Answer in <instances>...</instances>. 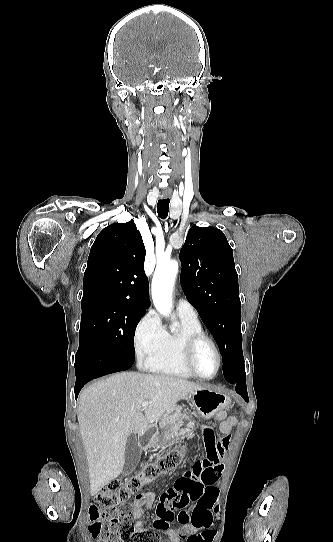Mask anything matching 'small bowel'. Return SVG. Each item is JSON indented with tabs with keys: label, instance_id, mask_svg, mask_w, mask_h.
I'll list each match as a JSON object with an SVG mask.
<instances>
[{
	"label": "small bowel",
	"instance_id": "small-bowel-1",
	"mask_svg": "<svg viewBox=\"0 0 333 542\" xmlns=\"http://www.w3.org/2000/svg\"><path fill=\"white\" fill-rule=\"evenodd\" d=\"M222 415L223 421L219 426V434H217L214 430L213 432L207 431V427L204 429L203 433L206 457L211 461L222 460L225 457L224 451L227 449L229 444L230 431L233 427L237 425V419L235 417L231 416L227 419H224V414L222 413ZM154 499L155 495L153 493H141L137 494L135 497V501L130 504V515L134 520H136L135 526L138 531L144 529V524L142 521H140V519L151 506ZM142 505H146V508H142ZM190 514L191 513H188L186 511V513L181 514V516L186 517ZM198 514L199 518H208L210 519V521L205 520L202 522L201 520H195L193 523L179 522L181 524V528L179 531L166 530L164 532L165 536L168 538L167 541L180 542L183 537L195 533L196 531H201L202 529L205 531L211 530L213 525L210 512H208L207 510H199Z\"/></svg>",
	"mask_w": 333,
	"mask_h": 542
}]
</instances>
